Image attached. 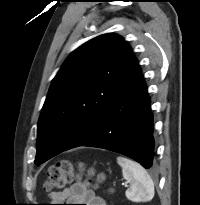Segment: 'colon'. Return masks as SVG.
<instances>
[{
    "instance_id": "1",
    "label": "colon",
    "mask_w": 200,
    "mask_h": 205,
    "mask_svg": "<svg viewBox=\"0 0 200 205\" xmlns=\"http://www.w3.org/2000/svg\"><path fill=\"white\" fill-rule=\"evenodd\" d=\"M85 171L88 179L94 180L96 185L100 184L104 179L103 174H96L92 169L85 170L83 165L80 166V173L77 174L72 163L67 160H63L49 167L44 188L46 191L61 189L67 184L73 182L74 179L79 178L81 173Z\"/></svg>"
}]
</instances>
